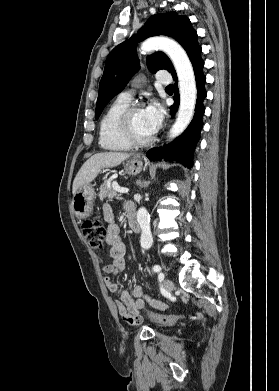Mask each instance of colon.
<instances>
[{"instance_id":"obj_1","label":"colon","mask_w":279,"mask_h":391,"mask_svg":"<svg viewBox=\"0 0 279 391\" xmlns=\"http://www.w3.org/2000/svg\"><path fill=\"white\" fill-rule=\"evenodd\" d=\"M82 232L85 240L92 249H103L104 243L106 241L107 229L101 220L94 219L84 221L82 225ZM148 314L151 318L166 325H172L182 318L181 316H165L151 313L149 311Z\"/></svg>"}]
</instances>
